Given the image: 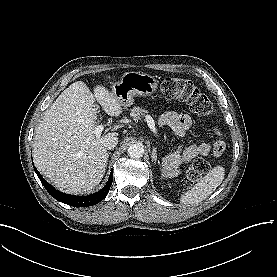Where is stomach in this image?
I'll use <instances>...</instances> for the list:
<instances>
[{"label":"stomach","mask_w":277,"mask_h":277,"mask_svg":"<svg viewBox=\"0 0 277 277\" xmlns=\"http://www.w3.org/2000/svg\"><path fill=\"white\" fill-rule=\"evenodd\" d=\"M157 87L158 81L154 76L130 71L113 84L111 93L123 107H129L134 102V96H150Z\"/></svg>","instance_id":"1"}]
</instances>
